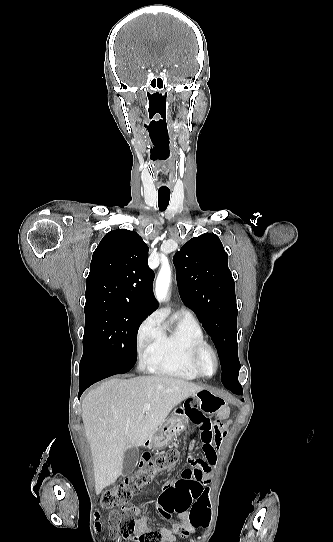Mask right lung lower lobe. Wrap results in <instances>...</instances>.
I'll use <instances>...</instances> for the list:
<instances>
[{
	"label": "right lung lower lobe",
	"mask_w": 333,
	"mask_h": 542,
	"mask_svg": "<svg viewBox=\"0 0 333 542\" xmlns=\"http://www.w3.org/2000/svg\"><path fill=\"white\" fill-rule=\"evenodd\" d=\"M126 372H128L127 369L108 362L100 357L94 361H81L79 366L80 389L78 398H80L81 394L95 382L115 374H123Z\"/></svg>",
	"instance_id": "right-lung-lower-lobe-1"
}]
</instances>
